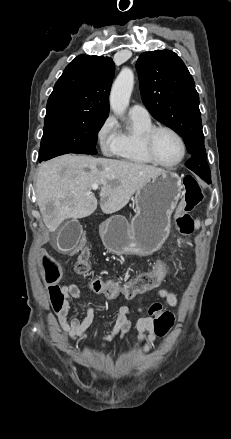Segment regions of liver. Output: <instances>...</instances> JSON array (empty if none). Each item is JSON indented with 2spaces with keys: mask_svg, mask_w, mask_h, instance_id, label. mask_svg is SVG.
Wrapping results in <instances>:
<instances>
[{
  "mask_svg": "<svg viewBox=\"0 0 231 439\" xmlns=\"http://www.w3.org/2000/svg\"><path fill=\"white\" fill-rule=\"evenodd\" d=\"M165 172L141 163L62 155L39 165L36 196L43 221L54 232L67 219L84 218L97 209L92 184L101 186L100 208L112 214L129 202L151 178Z\"/></svg>",
  "mask_w": 231,
  "mask_h": 439,
  "instance_id": "1",
  "label": "liver"
}]
</instances>
